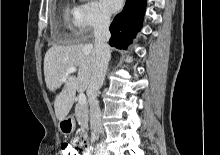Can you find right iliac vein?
Instances as JSON below:
<instances>
[{
    "label": "right iliac vein",
    "mask_w": 220,
    "mask_h": 155,
    "mask_svg": "<svg viewBox=\"0 0 220 155\" xmlns=\"http://www.w3.org/2000/svg\"><path fill=\"white\" fill-rule=\"evenodd\" d=\"M102 155H110L109 153H103Z\"/></svg>",
    "instance_id": "right-iliac-vein-1"
}]
</instances>
